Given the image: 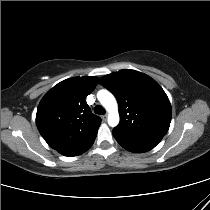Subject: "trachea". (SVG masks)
<instances>
[{"label": "trachea", "mask_w": 210, "mask_h": 210, "mask_svg": "<svg viewBox=\"0 0 210 210\" xmlns=\"http://www.w3.org/2000/svg\"><path fill=\"white\" fill-rule=\"evenodd\" d=\"M94 112L99 115H104L105 109L101 105H96L94 108Z\"/></svg>", "instance_id": "1"}]
</instances>
